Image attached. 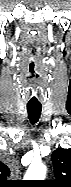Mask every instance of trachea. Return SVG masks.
Masks as SVG:
<instances>
[{
    "instance_id": "trachea-1",
    "label": "trachea",
    "mask_w": 71,
    "mask_h": 187,
    "mask_svg": "<svg viewBox=\"0 0 71 187\" xmlns=\"http://www.w3.org/2000/svg\"><path fill=\"white\" fill-rule=\"evenodd\" d=\"M42 106L41 105H27L28 117L30 122L34 125L40 118Z\"/></svg>"
}]
</instances>
